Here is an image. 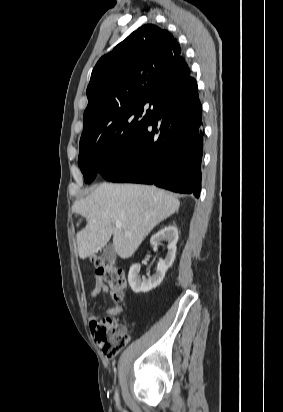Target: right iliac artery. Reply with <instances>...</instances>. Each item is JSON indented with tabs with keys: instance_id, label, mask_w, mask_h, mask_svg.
<instances>
[{
	"instance_id": "82829eb1",
	"label": "right iliac artery",
	"mask_w": 283,
	"mask_h": 412,
	"mask_svg": "<svg viewBox=\"0 0 283 412\" xmlns=\"http://www.w3.org/2000/svg\"><path fill=\"white\" fill-rule=\"evenodd\" d=\"M116 401H117V403H118V401H119V398H118V394L116 393Z\"/></svg>"
}]
</instances>
